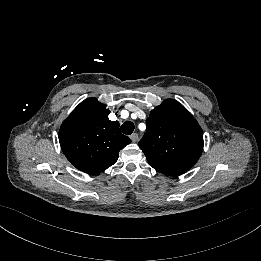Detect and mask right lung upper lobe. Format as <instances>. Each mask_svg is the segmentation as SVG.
Segmentation results:
<instances>
[{
    "label": "right lung upper lobe",
    "mask_w": 261,
    "mask_h": 261,
    "mask_svg": "<svg viewBox=\"0 0 261 261\" xmlns=\"http://www.w3.org/2000/svg\"><path fill=\"white\" fill-rule=\"evenodd\" d=\"M110 111L96 98L82 101L64 120L59 142L67 159L80 171L95 174L112 166L131 140L110 121Z\"/></svg>",
    "instance_id": "right-lung-upper-lobe-1"
}]
</instances>
